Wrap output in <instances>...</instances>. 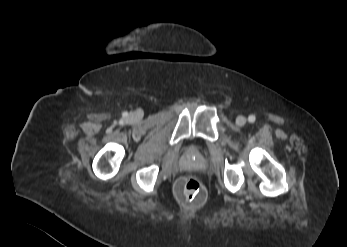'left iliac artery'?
Instances as JSON below:
<instances>
[{
	"instance_id": "1",
	"label": "left iliac artery",
	"mask_w": 347,
	"mask_h": 247,
	"mask_svg": "<svg viewBox=\"0 0 347 247\" xmlns=\"http://www.w3.org/2000/svg\"><path fill=\"white\" fill-rule=\"evenodd\" d=\"M255 120H256V117H255L254 115H250V116L248 117V121H249L250 123H254Z\"/></svg>"
}]
</instances>
